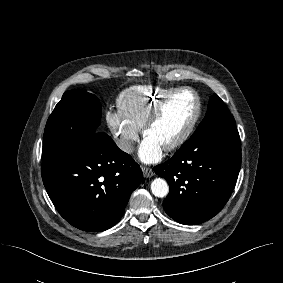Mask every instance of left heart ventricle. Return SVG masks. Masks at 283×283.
Instances as JSON below:
<instances>
[{
    "label": "left heart ventricle",
    "instance_id": "obj_1",
    "mask_svg": "<svg viewBox=\"0 0 283 283\" xmlns=\"http://www.w3.org/2000/svg\"><path fill=\"white\" fill-rule=\"evenodd\" d=\"M195 107V100L189 92L175 95L149 128L146 137L163 148L185 129L195 112Z\"/></svg>",
    "mask_w": 283,
    "mask_h": 283
}]
</instances>
